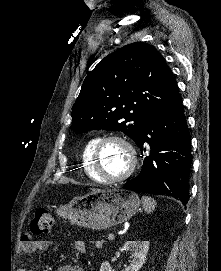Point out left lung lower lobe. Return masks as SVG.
Segmentation results:
<instances>
[{
	"label": "left lung lower lobe",
	"instance_id": "1",
	"mask_svg": "<svg viewBox=\"0 0 221 271\" xmlns=\"http://www.w3.org/2000/svg\"><path fill=\"white\" fill-rule=\"evenodd\" d=\"M143 157L139 175L126 182L124 189L154 195H169L184 205L189 200V174L192 163L191 136L179 91L159 112L142 125L135 141Z\"/></svg>",
	"mask_w": 221,
	"mask_h": 271
}]
</instances>
